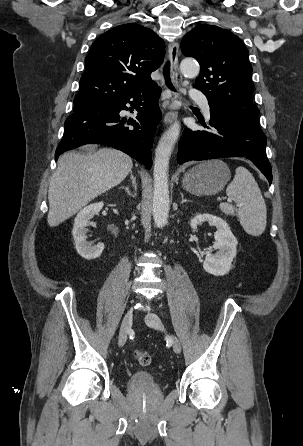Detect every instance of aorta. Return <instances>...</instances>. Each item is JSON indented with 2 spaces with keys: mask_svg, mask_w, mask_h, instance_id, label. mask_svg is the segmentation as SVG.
I'll return each instance as SVG.
<instances>
[{
  "mask_svg": "<svg viewBox=\"0 0 303 446\" xmlns=\"http://www.w3.org/2000/svg\"><path fill=\"white\" fill-rule=\"evenodd\" d=\"M180 70L184 76L196 77L199 74V65L190 59H185L180 64ZM180 135V123L175 122L163 133L155 149L153 178V218L158 228L167 224L169 214V187L168 168L171 152Z\"/></svg>",
  "mask_w": 303,
  "mask_h": 446,
  "instance_id": "762f6f07",
  "label": "aorta"
}]
</instances>
